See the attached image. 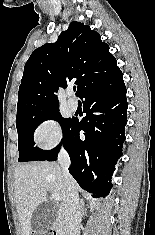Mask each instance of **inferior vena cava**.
<instances>
[{
	"label": "inferior vena cava",
	"instance_id": "1",
	"mask_svg": "<svg viewBox=\"0 0 155 235\" xmlns=\"http://www.w3.org/2000/svg\"><path fill=\"white\" fill-rule=\"evenodd\" d=\"M58 162L62 168L64 186L66 189L65 235H80L79 225L81 222V212L79 197L75 187V181L68 171L71 163L70 158L64 149H61L59 152Z\"/></svg>",
	"mask_w": 155,
	"mask_h": 235
}]
</instances>
